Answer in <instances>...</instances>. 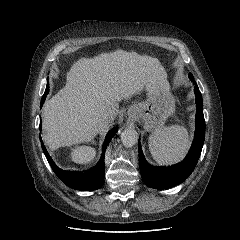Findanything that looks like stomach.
Wrapping results in <instances>:
<instances>
[{
  "mask_svg": "<svg viewBox=\"0 0 240 240\" xmlns=\"http://www.w3.org/2000/svg\"><path fill=\"white\" fill-rule=\"evenodd\" d=\"M147 100L129 109V114L143 120L146 130L160 129L175 111V99L166 81H158L145 87Z\"/></svg>",
  "mask_w": 240,
  "mask_h": 240,
  "instance_id": "0dacf381",
  "label": "stomach"
}]
</instances>
